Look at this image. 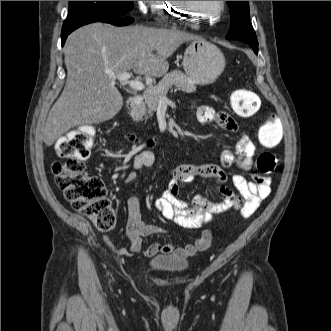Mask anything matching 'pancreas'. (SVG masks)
<instances>
[{"instance_id": "obj_1", "label": "pancreas", "mask_w": 331, "mask_h": 331, "mask_svg": "<svg viewBox=\"0 0 331 331\" xmlns=\"http://www.w3.org/2000/svg\"><path fill=\"white\" fill-rule=\"evenodd\" d=\"M172 86L187 93L196 91L194 82L188 76L179 70H174L166 74L157 85L145 91L143 95L144 103L135 106L131 111L132 119L139 121L146 115V112L152 115V112L157 109L160 97H164Z\"/></svg>"}]
</instances>
